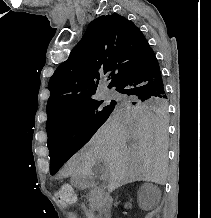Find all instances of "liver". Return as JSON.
Segmentation results:
<instances>
[{"label": "liver", "mask_w": 211, "mask_h": 218, "mask_svg": "<svg viewBox=\"0 0 211 218\" xmlns=\"http://www.w3.org/2000/svg\"><path fill=\"white\" fill-rule=\"evenodd\" d=\"M167 146L166 128L152 112L115 110L63 172L90 176L93 166L105 162L115 188L140 180L165 184Z\"/></svg>", "instance_id": "obj_1"}]
</instances>
